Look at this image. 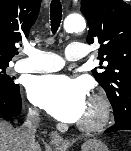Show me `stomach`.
Segmentation results:
<instances>
[{
    "mask_svg": "<svg viewBox=\"0 0 131 151\" xmlns=\"http://www.w3.org/2000/svg\"><path fill=\"white\" fill-rule=\"evenodd\" d=\"M81 151H109L108 147L99 139H89L81 147Z\"/></svg>",
    "mask_w": 131,
    "mask_h": 151,
    "instance_id": "1",
    "label": "stomach"
}]
</instances>
